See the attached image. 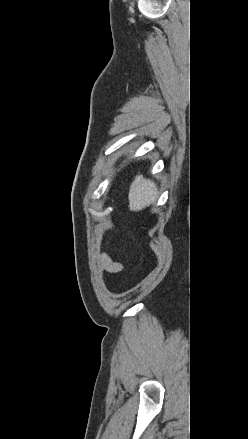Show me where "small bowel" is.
<instances>
[{
	"instance_id": "small-bowel-1",
	"label": "small bowel",
	"mask_w": 248,
	"mask_h": 439,
	"mask_svg": "<svg viewBox=\"0 0 248 439\" xmlns=\"http://www.w3.org/2000/svg\"><path fill=\"white\" fill-rule=\"evenodd\" d=\"M100 268L108 273H116L121 271L122 265L107 253H103L100 258Z\"/></svg>"
}]
</instances>
